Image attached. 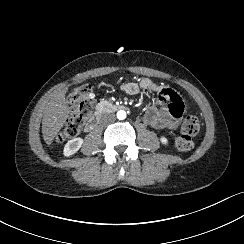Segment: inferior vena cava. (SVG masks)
Segmentation results:
<instances>
[{"instance_id":"602c4592","label":"inferior vena cava","mask_w":244,"mask_h":244,"mask_svg":"<svg viewBox=\"0 0 244 244\" xmlns=\"http://www.w3.org/2000/svg\"><path fill=\"white\" fill-rule=\"evenodd\" d=\"M115 115L114 114H105L103 117H102V120L106 121V122H113L115 121Z\"/></svg>"}]
</instances>
